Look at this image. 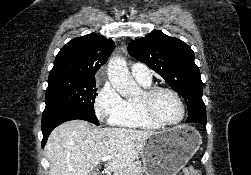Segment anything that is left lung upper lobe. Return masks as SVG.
<instances>
[{
	"instance_id": "left-lung-upper-lobe-1",
	"label": "left lung upper lobe",
	"mask_w": 251,
	"mask_h": 175,
	"mask_svg": "<svg viewBox=\"0 0 251 175\" xmlns=\"http://www.w3.org/2000/svg\"><path fill=\"white\" fill-rule=\"evenodd\" d=\"M128 52L160 74L183 96L187 105H204L203 83L194 62V52L182 40L153 31L130 42Z\"/></svg>"
}]
</instances>
